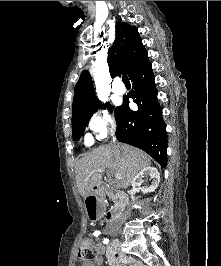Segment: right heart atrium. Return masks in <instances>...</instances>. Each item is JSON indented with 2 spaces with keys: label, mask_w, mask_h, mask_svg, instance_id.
Segmentation results:
<instances>
[{
  "label": "right heart atrium",
  "mask_w": 221,
  "mask_h": 266,
  "mask_svg": "<svg viewBox=\"0 0 221 266\" xmlns=\"http://www.w3.org/2000/svg\"><path fill=\"white\" fill-rule=\"evenodd\" d=\"M92 135L99 140L107 138L116 130V124L106 108L96 110L88 121Z\"/></svg>",
  "instance_id": "right-heart-atrium-1"
}]
</instances>
